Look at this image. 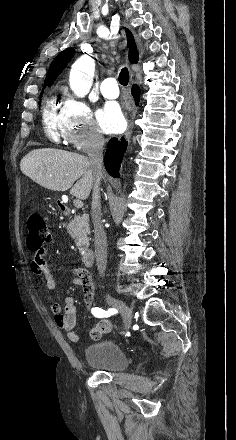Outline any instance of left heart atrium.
Returning <instances> with one entry per match:
<instances>
[{"label":"left heart atrium","mask_w":236,"mask_h":440,"mask_svg":"<svg viewBox=\"0 0 236 440\" xmlns=\"http://www.w3.org/2000/svg\"><path fill=\"white\" fill-rule=\"evenodd\" d=\"M99 124L106 133H116L123 126V115L117 104L109 103L99 112Z\"/></svg>","instance_id":"39dd6f15"}]
</instances>
